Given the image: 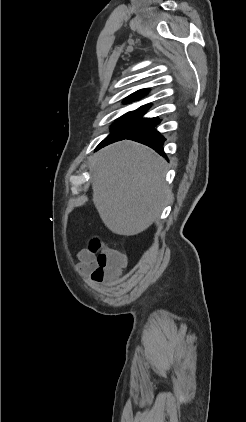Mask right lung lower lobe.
Listing matches in <instances>:
<instances>
[{"mask_svg":"<svg viewBox=\"0 0 246 422\" xmlns=\"http://www.w3.org/2000/svg\"><path fill=\"white\" fill-rule=\"evenodd\" d=\"M160 123V120L152 125L138 131L126 139L133 140L145 144L161 155H165L163 150L164 136L155 130V126ZM99 149V148H98Z\"/></svg>","mask_w":246,"mask_h":422,"instance_id":"98d812e1","label":"right lung lower lobe"}]
</instances>
